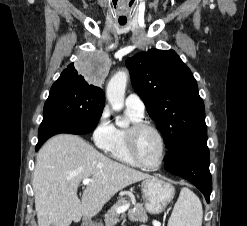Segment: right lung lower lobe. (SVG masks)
<instances>
[{"instance_id": "right-lung-lower-lobe-1", "label": "right lung lower lobe", "mask_w": 247, "mask_h": 226, "mask_svg": "<svg viewBox=\"0 0 247 226\" xmlns=\"http://www.w3.org/2000/svg\"><path fill=\"white\" fill-rule=\"evenodd\" d=\"M92 124H77L59 118H53L42 121L39 127V141L36 145V151L51 136L59 133L86 134L95 129Z\"/></svg>"}]
</instances>
